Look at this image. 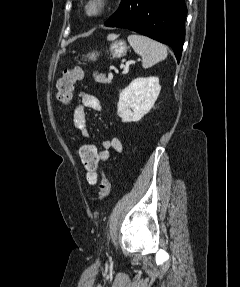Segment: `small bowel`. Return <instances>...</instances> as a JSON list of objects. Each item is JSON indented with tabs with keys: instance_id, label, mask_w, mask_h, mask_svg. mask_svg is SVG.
I'll return each mask as SVG.
<instances>
[{
	"instance_id": "obj_1",
	"label": "small bowel",
	"mask_w": 240,
	"mask_h": 287,
	"mask_svg": "<svg viewBox=\"0 0 240 287\" xmlns=\"http://www.w3.org/2000/svg\"><path fill=\"white\" fill-rule=\"evenodd\" d=\"M87 109L100 111L101 102L96 96L83 92L80 95V104L74 109L72 124L80 132L81 137L84 139H88L90 136L87 126ZM122 149V142L118 138L113 137L104 139L101 143V149L98 150L99 161H108L111 151L120 153Z\"/></svg>"
}]
</instances>
